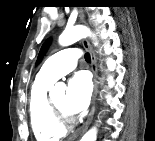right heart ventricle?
Instances as JSON below:
<instances>
[{
    "label": "right heart ventricle",
    "instance_id": "obj_1",
    "mask_svg": "<svg viewBox=\"0 0 155 141\" xmlns=\"http://www.w3.org/2000/svg\"><path fill=\"white\" fill-rule=\"evenodd\" d=\"M53 81L36 78L29 95V116L32 131L38 141H57L65 135V129L53 121L48 106V90Z\"/></svg>",
    "mask_w": 155,
    "mask_h": 141
}]
</instances>
